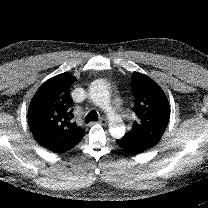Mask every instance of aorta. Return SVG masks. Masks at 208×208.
Masks as SVG:
<instances>
[{"label":"aorta","instance_id":"aorta-1","mask_svg":"<svg viewBox=\"0 0 208 208\" xmlns=\"http://www.w3.org/2000/svg\"><path fill=\"white\" fill-rule=\"evenodd\" d=\"M89 95L96 105L107 112L110 134L117 139L122 138L125 134V126L121 118L112 111L111 95L107 83L101 79L95 80L90 85Z\"/></svg>","mask_w":208,"mask_h":208}]
</instances>
